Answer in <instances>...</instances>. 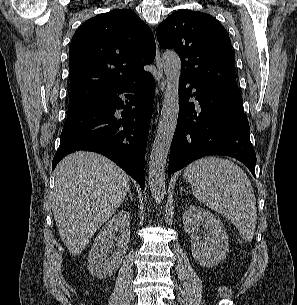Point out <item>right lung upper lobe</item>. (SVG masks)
I'll return each mask as SVG.
<instances>
[{"label":"right lung upper lobe","instance_id":"right-lung-upper-lobe-1","mask_svg":"<svg viewBox=\"0 0 297 305\" xmlns=\"http://www.w3.org/2000/svg\"><path fill=\"white\" fill-rule=\"evenodd\" d=\"M156 48L151 29L130 9L85 21L69 48V104L99 98L106 91L147 74Z\"/></svg>","mask_w":297,"mask_h":305}]
</instances>
